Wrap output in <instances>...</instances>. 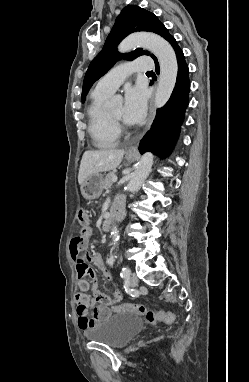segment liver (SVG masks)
<instances>
[{"instance_id":"liver-1","label":"liver","mask_w":249,"mask_h":382,"mask_svg":"<svg viewBox=\"0 0 249 382\" xmlns=\"http://www.w3.org/2000/svg\"><path fill=\"white\" fill-rule=\"evenodd\" d=\"M124 153L123 149L85 151L80 163L78 183L82 186L91 174L115 169L121 163Z\"/></svg>"}]
</instances>
